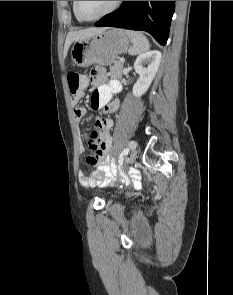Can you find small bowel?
I'll return each mask as SVG.
<instances>
[{"label": "small bowel", "instance_id": "c3829d8e", "mask_svg": "<svg viewBox=\"0 0 233 295\" xmlns=\"http://www.w3.org/2000/svg\"><path fill=\"white\" fill-rule=\"evenodd\" d=\"M89 79L97 85L91 96V105L94 109H102V115L96 121V125L101 132L102 151L98 163L90 174L79 173V183L83 188L107 184L114 180L119 173L117 164L110 156L112 146L110 130L113 126V121L109 116L119 108V101L112 99V97L120 92L121 85L116 80L111 81L107 85L103 84L105 74L103 69L99 67L91 70ZM82 97L83 92L72 95V103L75 105L73 114L77 122H80L86 115L85 109L77 106Z\"/></svg>", "mask_w": 233, "mask_h": 295}]
</instances>
